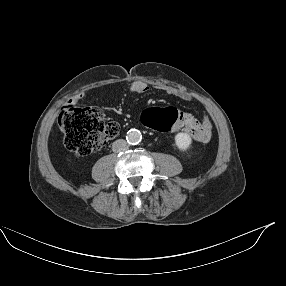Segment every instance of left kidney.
Listing matches in <instances>:
<instances>
[{"label": "left kidney", "instance_id": "1", "mask_svg": "<svg viewBox=\"0 0 286 286\" xmlns=\"http://www.w3.org/2000/svg\"><path fill=\"white\" fill-rule=\"evenodd\" d=\"M175 144L179 150L186 151L190 148L192 139L186 133H178L175 136Z\"/></svg>", "mask_w": 286, "mask_h": 286}]
</instances>
